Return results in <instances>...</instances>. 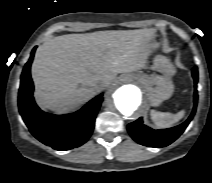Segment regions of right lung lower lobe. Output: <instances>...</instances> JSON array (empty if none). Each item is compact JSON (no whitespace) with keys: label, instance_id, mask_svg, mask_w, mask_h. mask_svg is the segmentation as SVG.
<instances>
[{"label":"right lung lower lobe","instance_id":"right-lung-lower-lobe-1","mask_svg":"<svg viewBox=\"0 0 212 183\" xmlns=\"http://www.w3.org/2000/svg\"><path fill=\"white\" fill-rule=\"evenodd\" d=\"M36 47L32 50L22 75L18 96L20 114L30 132L40 142L56 150H68L84 144L90 137L102 95L88 102L81 110L66 115H52L41 111L33 98L30 66Z\"/></svg>","mask_w":212,"mask_h":183}]
</instances>
